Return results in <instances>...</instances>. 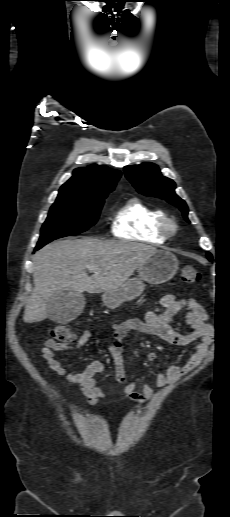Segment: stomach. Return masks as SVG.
I'll return each mask as SVG.
<instances>
[{"instance_id": "stomach-1", "label": "stomach", "mask_w": 230, "mask_h": 517, "mask_svg": "<svg viewBox=\"0 0 230 517\" xmlns=\"http://www.w3.org/2000/svg\"><path fill=\"white\" fill-rule=\"evenodd\" d=\"M178 264L174 254L165 250H157L138 267L137 277L127 280L116 289L103 293L102 301L104 305L114 309L124 302L134 300L144 291V282L160 284L169 281L177 273Z\"/></svg>"}]
</instances>
